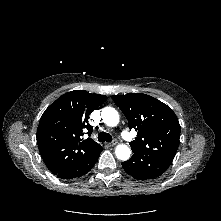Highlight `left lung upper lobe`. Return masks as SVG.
I'll use <instances>...</instances> for the list:
<instances>
[{
  "mask_svg": "<svg viewBox=\"0 0 221 221\" xmlns=\"http://www.w3.org/2000/svg\"><path fill=\"white\" fill-rule=\"evenodd\" d=\"M115 104L134 128L137 137L130 143L133 152L173 160L180 138V124L166 104L142 93L114 95Z\"/></svg>",
  "mask_w": 221,
  "mask_h": 221,
  "instance_id": "5c2ea615",
  "label": "left lung upper lobe"
}]
</instances>
